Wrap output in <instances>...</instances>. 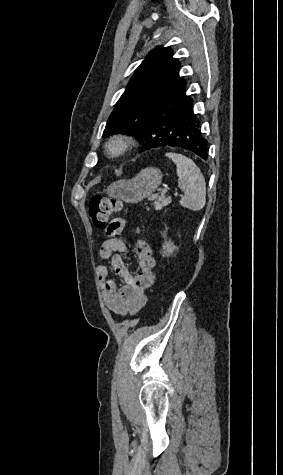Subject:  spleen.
Here are the masks:
<instances>
[{
  "label": "spleen",
  "mask_w": 283,
  "mask_h": 475,
  "mask_svg": "<svg viewBox=\"0 0 283 475\" xmlns=\"http://www.w3.org/2000/svg\"><path fill=\"white\" fill-rule=\"evenodd\" d=\"M165 156L176 164L178 186L185 194L180 200L181 206L193 212L202 210L206 204V184L200 168H197L193 160L182 154L168 152Z\"/></svg>",
  "instance_id": "spleen-1"
}]
</instances>
